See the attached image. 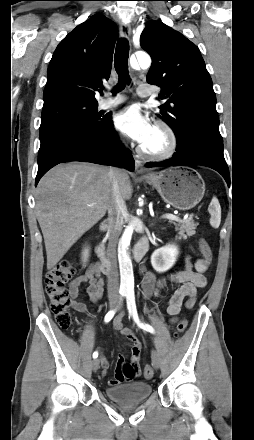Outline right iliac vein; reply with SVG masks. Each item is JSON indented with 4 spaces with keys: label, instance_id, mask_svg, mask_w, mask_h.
I'll list each match as a JSON object with an SVG mask.
<instances>
[{
    "label": "right iliac vein",
    "instance_id": "obj_1",
    "mask_svg": "<svg viewBox=\"0 0 254 440\" xmlns=\"http://www.w3.org/2000/svg\"><path fill=\"white\" fill-rule=\"evenodd\" d=\"M114 307H115V304L111 303L110 308L113 309ZM99 364H100V361L98 358H96L92 361V369L94 372H96L98 370Z\"/></svg>",
    "mask_w": 254,
    "mask_h": 440
}]
</instances>
